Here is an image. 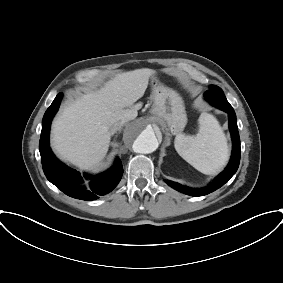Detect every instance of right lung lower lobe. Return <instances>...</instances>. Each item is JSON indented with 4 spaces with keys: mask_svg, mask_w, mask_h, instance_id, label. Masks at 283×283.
Listing matches in <instances>:
<instances>
[{
    "mask_svg": "<svg viewBox=\"0 0 283 283\" xmlns=\"http://www.w3.org/2000/svg\"><path fill=\"white\" fill-rule=\"evenodd\" d=\"M61 99L62 93H59L43 116L39 142L43 171L47 179L66 195L86 201L95 200L98 195H105L117 186L123 175L121 162L117 160L112 169L96 176L92 180L91 191L84 190L79 186L78 182L82 180L80 173L62 164L54 156L49 146L51 121L60 106Z\"/></svg>",
    "mask_w": 283,
    "mask_h": 283,
    "instance_id": "obj_1",
    "label": "right lung lower lobe"
}]
</instances>
